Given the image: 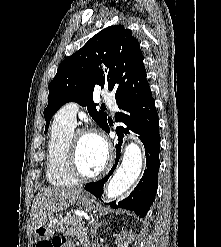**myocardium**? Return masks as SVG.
Instances as JSON below:
<instances>
[{
	"label": "myocardium",
	"instance_id": "f54148a6",
	"mask_svg": "<svg viewBox=\"0 0 221 247\" xmlns=\"http://www.w3.org/2000/svg\"><path fill=\"white\" fill-rule=\"evenodd\" d=\"M84 135H93L98 137L105 149H106V162L102 169L97 172L96 174L87 175L84 174L80 167L78 162V145L80 138ZM113 164V149L110 143L107 141V139L100 134L98 131L88 128H79L73 131L70 139V145H69V151H68V165L71 174L79 181L87 182V181H94L102 178L105 176Z\"/></svg>",
	"mask_w": 221,
	"mask_h": 247
}]
</instances>
